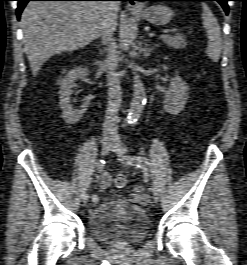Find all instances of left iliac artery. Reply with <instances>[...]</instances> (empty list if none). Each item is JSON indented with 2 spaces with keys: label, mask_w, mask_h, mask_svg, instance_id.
<instances>
[{
  "label": "left iliac artery",
  "mask_w": 247,
  "mask_h": 265,
  "mask_svg": "<svg viewBox=\"0 0 247 265\" xmlns=\"http://www.w3.org/2000/svg\"><path fill=\"white\" fill-rule=\"evenodd\" d=\"M125 162L139 167L149 164L148 159L143 156H127Z\"/></svg>",
  "instance_id": "44dca946"
}]
</instances>
